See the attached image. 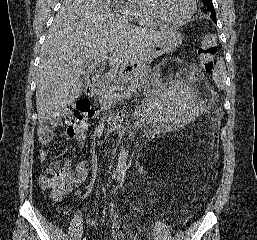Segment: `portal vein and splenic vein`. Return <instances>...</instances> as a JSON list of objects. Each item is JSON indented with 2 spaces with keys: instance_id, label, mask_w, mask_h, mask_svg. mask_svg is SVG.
<instances>
[{
  "instance_id": "18ae733b",
  "label": "portal vein and splenic vein",
  "mask_w": 257,
  "mask_h": 240,
  "mask_svg": "<svg viewBox=\"0 0 257 240\" xmlns=\"http://www.w3.org/2000/svg\"><path fill=\"white\" fill-rule=\"evenodd\" d=\"M107 57L108 56L106 54L98 56L97 58H95L94 64L91 65L90 68L93 69L95 66H97L99 64H103L104 61L107 59ZM133 91H134V89L132 87H129L128 90L126 92H124V94H117L114 97L119 100L125 96L131 95Z\"/></svg>"
}]
</instances>
